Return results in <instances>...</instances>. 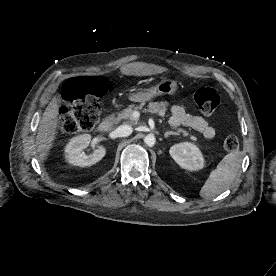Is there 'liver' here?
Wrapping results in <instances>:
<instances>
[{
  "instance_id": "1",
  "label": "liver",
  "mask_w": 276,
  "mask_h": 276,
  "mask_svg": "<svg viewBox=\"0 0 276 276\" xmlns=\"http://www.w3.org/2000/svg\"><path fill=\"white\" fill-rule=\"evenodd\" d=\"M167 69L143 62H133L125 64L120 68V72L127 76H149L166 72ZM60 98L55 96L46 107L38 128L36 136V150L41 162H44L56 138Z\"/></svg>"
}]
</instances>
